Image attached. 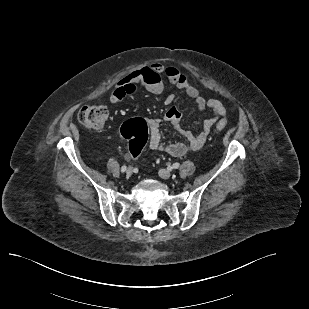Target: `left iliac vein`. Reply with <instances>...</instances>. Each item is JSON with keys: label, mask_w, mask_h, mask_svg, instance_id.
Here are the masks:
<instances>
[{"label": "left iliac vein", "mask_w": 309, "mask_h": 309, "mask_svg": "<svg viewBox=\"0 0 309 309\" xmlns=\"http://www.w3.org/2000/svg\"><path fill=\"white\" fill-rule=\"evenodd\" d=\"M158 174L163 179H169L171 177V172L167 169H160Z\"/></svg>", "instance_id": "obj_1"}]
</instances>
